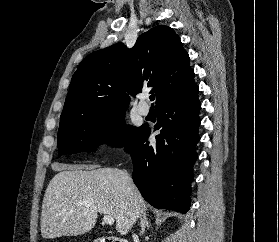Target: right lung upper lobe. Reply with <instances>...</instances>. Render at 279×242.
<instances>
[{
	"label": "right lung upper lobe",
	"instance_id": "right-lung-upper-lobe-1",
	"mask_svg": "<svg viewBox=\"0 0 279 242\" xmlns=\"http://www.w3.org/2000/svg\"><path fill=\"white\" fill-rule=\"evenodd\" d=\"M195 84L189 55L167 26L145 32L132 49L117 43L89 54L74 73L60 126L125 112L129 94L152 87L156 107Z\"/></svg>",
	"mask_w": 279,
	"mask_h": 242
}]
</instances>
